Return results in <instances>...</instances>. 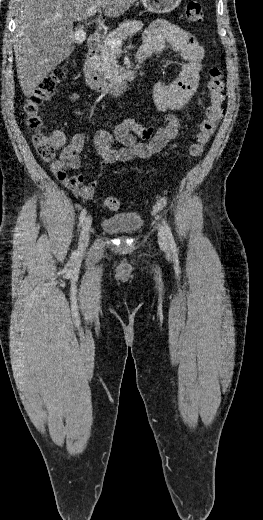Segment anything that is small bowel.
<instances>
[{"instance_id":"small-bowel-1","label":"small bowel","mask_w":263,"mask_h":520,"mask_svg":"<svg viewBox=\"0 0 263 520\" xmlns=\"http://www.w3.org/2000/svg\"><path fill=\"white\" fill-rule=\"evenodd\" d=\"M166 49L180 53L184 64L177 78L168 83L158 81L153 86L154 104L164 113L163 125L154 127L140 124L133 119H125L115 126L113 134L106 130H98L93 143L101 168L115 162L148 159L177 137L180 120L172 112L183 110L195 94L205 52L192 32L165 20H157L144 32L139 53L150 57L159 55ZM78 98V94L69 97L71 101ZM136 136L144 141H137ZM51 137L60 149L59 158L50 164L52 173L77 197L84 200L92 199L97 180L85 183L83 174L72 173L81 167L79 155L85 145V133L77 132L69 142L62 131H54ZM115 139L124 147L114 148Z\"/></svg>"}]
</instances>
